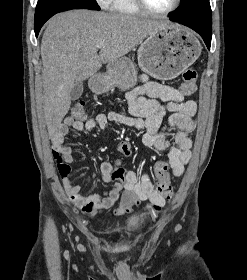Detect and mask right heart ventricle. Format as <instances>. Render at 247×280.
Wrapping results in <instances>:
<instances>
[{
	"label": "right heart ventricle",
	"mask_w": 247,
	"mask_h": 280,
	"mask_svg": "<svg viewBox=\"0 0 247 280\" xmlns=\"http://www.w3.org/2000/svg\"><path fill=\"white\" fill-rule=\"evenodd\" d=\"M110 9L122 15H138L141 13L134 0H111Z\"/></svg>",
	"instance_id": "obj_1"
}]
</instances>
